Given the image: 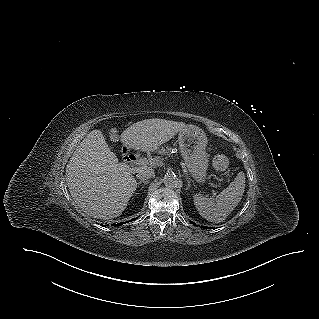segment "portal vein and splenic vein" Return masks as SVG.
<instances>
[{
    "label": "portal vein and splenic vein",
    "mask_w": 319,
    "mask_h": 319,
    "mask_svg": "<svg viewBox=\"0 0 319 319\" xmlns=\"http://www.w3.org/2000/svg\"><path fill=\"white\" fill-rule=\"evenodd\" d=\"M149 162L148 161H145V162H143V164H148ZM132 169H135V168H132ZM215 194V193H214Z\"/></svg>",
    "instance_id": "1"
}]
</instances>
